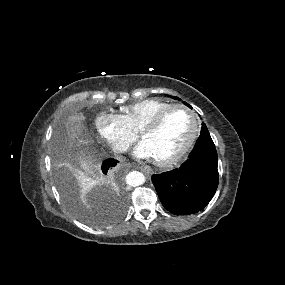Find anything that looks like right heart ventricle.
I'll use <instances>...</instances> for the list:
<instances>
[{"label":"right heart ventricle","mask_w":285,"mask_h":285,"mask_svg":"<svg viewBox=\"0 0 285 285\" xmlns=\"http://www.w3.org/2000/svg\"><path fill=\"white\" fill-rule=\"evenodd\" d=\"M171 105V102L160 98H149L123 107L119 116L131 130L136 131Z\"/></svg>","instance_id":"obj_1"}]
</instances>
